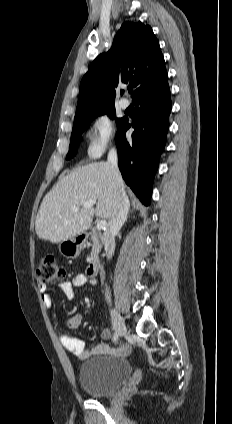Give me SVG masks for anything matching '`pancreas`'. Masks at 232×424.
<instances>
[{"mask_svg":"<svg viewBox=\"0 0 232 424\" xmlns=\"http://www.w3.org/2000/svg\"><path fill=\"white\" fill-rule=\"evenodd\" d=\"M91 241L93 243L92 245V251H91V258H94L97 256L99 250L102 247L103 239L100 233H98L96 230H93L91 233Z\"/></svg>","mask_w":232,"mask_h":424,"instance_id":"pancreas-1","label":"pancreas"}]
</instances>
